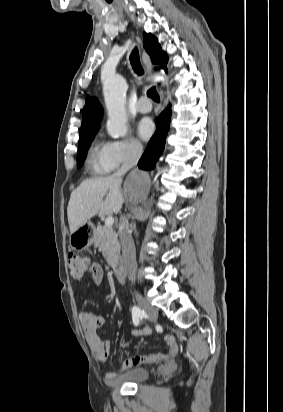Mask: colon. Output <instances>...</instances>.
<instances>
[{
    "label": "colon",
    "mask_w": 283,
    "mask_h": 412,
    "mask_svg": "<svg viewBox=\"0 0 283 412\" xmlns=\"http://www.w3.org/2000/svg\"><path fill=\"white\" fill-rule=\"evenodd\" d=\"M95 262L86 260L78 255H70L67 261L70 274L75 278H80L85 272H90L95 268Z\"/></svg>",
    "instance_id": "5ec220e1"
}]
</instances>
